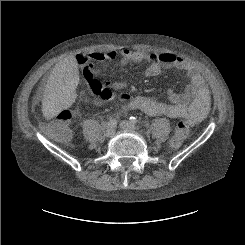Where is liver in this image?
<instances>
[{"instance_id":"6515ba94","label":"liver","mask_w":245,"mask_h":245,"mask_svg":"<svg viewBox=\"0 0 245 245\" xmlns=\"http://www.w3.org/2000/svg\"><path fill=\"white\" fill-rule=\"evenodd\" d=\"M78 82L79 73L75 57H67L54 66L42 99V113L45 119L54 118L74 103Z\"/></svg>"}]
</instances>
